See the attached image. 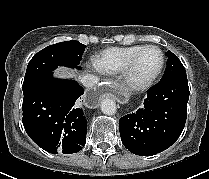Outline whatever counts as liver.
I'll return each instance as SVG.
<instances>
[{"instance_id": "1", "label": "liver", "mask_w": 209, "mask_h": 179, "mask_svg": "<svg viewBox=\"0 0 209 179\" xmlns=\"http://www.w3.org/2000/svg\"><path fill=\"white\" fill-rule=\"evenodd\" d=\"M70 72H72V71H69L68 69H64V68H59L57 70V75H59V76H67V75H70ZM77 76H78V78H81L80 74H78Z\"/></svg>"}]
</instances>
